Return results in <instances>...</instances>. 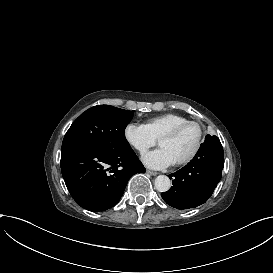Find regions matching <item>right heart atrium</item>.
I'll list each match as a JSON object with an SVG mask.
<instances>
[{"label":"right heart atrium","mask_w":273,"mask_h":273,"mask_svg":"<svg viewBox=\"0 0 273 273\" xmlns=\"http://www.w3.org/2000/svg\"><path fill=\"white\" fill-rule=\"evenodd\" d=\"M124 134L129 144L140 154L156 145V139L144 124L129 123Z\"/></svg>","instance_id":"obj_1"}]
</instances>
